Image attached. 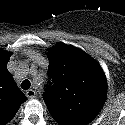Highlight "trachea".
Segmentation results:
<instances>
[{
  "label": "trachea",
  "instance_id": "obj_1",
  "mask_svg": "<svg viewBox=\"0 0 125 125\" xmlns=\"http://www.w3.org/2000/svg\"><path fill=\"white\" fill-rule=\"evenodd\" d=\"M31 86V83L28 79L24 80L22 83H21V88L24 89V90H27L29 89Z\"/></svg>",
  "mask_w": 125,
  "mask_h": 125
}]
</instances>
